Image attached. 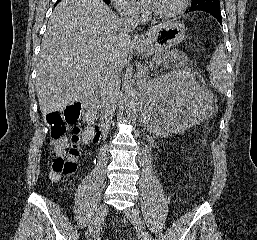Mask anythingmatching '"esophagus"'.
<instances>
[{
	"mask_svg": "<svg viewBox=\"0 0 257 240\" xmlns=\"http://www.w3.org/2000/svg\"><path fill=\"white\" fill-rule=\"evenodd\" d=\"M142 42L141 36L137 33L132 37V43L138 44Z\"/></svg>",
	"mask_w": 257,
	"mask_h": 240,
	"instance_id": "esophagus-1",
	"label": "esophagus"
}]
</instances>
